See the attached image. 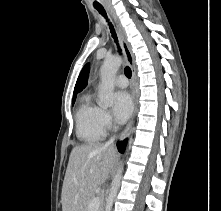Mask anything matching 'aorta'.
<instances>
[{"instance_id": "762f6f07", "label": "aorta", "mask_w": 221, "mask_h": 211, "mask_svg": "<svg viewBox=\"0 0 221 211\" xmlns=\"http://www.w3.org/2000/svg\"><path fill=\"white\" fill-rule=\"evenodd\" d=\"M122 64L120 57H112L105 59L101 67V84L98 93V105L107 108L113 105L114 102V81L116 73ZM123 172V163H121L116 175L113 178L110 193L106 199L105 211H111L117 191L120 187V182Z\"/></svg>"}]
</instances>
